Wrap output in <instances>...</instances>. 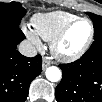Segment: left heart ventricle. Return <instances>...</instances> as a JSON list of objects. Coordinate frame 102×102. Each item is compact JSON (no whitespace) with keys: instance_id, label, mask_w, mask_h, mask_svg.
Instances as JSON below:
<instances>
[{"instance_id":"left-heart-ventricle-1","label":"left heart ventricle","mask_w":102,"mask_h":102,"mask_svg":"<svg viewBox=\"0 0 102 102\" xmlns=\"http://www.w3.org/2000/svg\"><path fill=\"white\" fill-rule=\"evenodd\" d=\"M88 31L86 22L77 23L61 43L59 49L63 54L75 53L85 42Z\"/></svg>"}]
</instances>
